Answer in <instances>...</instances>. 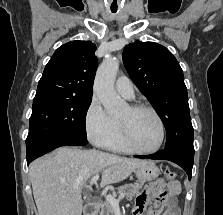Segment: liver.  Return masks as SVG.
<instances>
[{
  "instance_id": "liver-1",
  "label": "liver",
  "mask_w": 223,
  "mask_h": 215,
  "mask_svg": "<svg viewBox=\"0 0 223 215\" xmlns=\"http://www.w3.org/2000/svg\"><path fill=\"white\" fill-rule=\"evenodd\" d=\"M148 159L120 157L97 149L58 147L31 163L29 175L39 215H81V187L102 173L101 187L126 179Z\"/></svg>"
}]
</instances>
